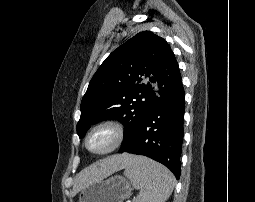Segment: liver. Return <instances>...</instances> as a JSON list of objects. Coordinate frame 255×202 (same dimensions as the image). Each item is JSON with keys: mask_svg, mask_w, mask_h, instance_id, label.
<instances>
[{"mask_svg": "<svg viewBox=\"0 0 255 202\" xmlns=\"http://www.w3.org/2000/svg\"><path fill=\"white\" fill-rule=\"evenodd\" d=\"M135 158L133 155L124 153L107 157L90 165L76 176L73 193L75 194L87 185L104 179L120 169L126 168Z\"/></svg>", "mask_w": 255, "mask_h": 202, "instance_id": "1", "label": "liver"}]
</instances>
